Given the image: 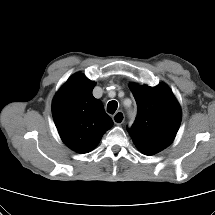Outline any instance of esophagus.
Instances as JSON below:
<instances>
[{
    "label": "esophagus",
    "instance_id": "1",
    "mask_svg": "<svg viewBox=\"0 0 215 215\" xmlns=\"http://www.w3.org/2000/svg\"><path fill=\"white\" fill-rule=\"evenodd\" d=\"M112 119H113V122L116 125H121L124 122V120H125V115H124V113L122 111H117L113 115Z\"/></svg>",
    "mask_w": 215,
    "mask_h": 215
}]
</instances>
